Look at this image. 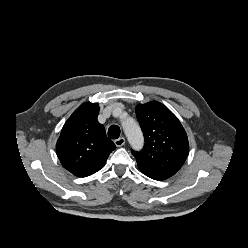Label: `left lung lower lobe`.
<instances>
[{"mask_svg":"<svg viewBox=\"0 0 248 248\" xmlns=\"http://www.w3.org/2000/svg\"><path fill=\"white\" fill-rule=\"evenodd\" d=\"M141 170V172L143 174H145L146 176L154 179V180H165L167 178H169L168 176H165V175H162V174H157V173H153V172H150V171H147V170H144L142 168H139Z\"/></svg>","mask_w":248,"mask_h":248,"instance_id":"obj_1","label":"left lung lower lobe"}]
</instances>
